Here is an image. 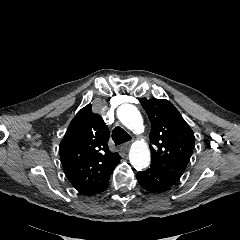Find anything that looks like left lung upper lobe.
I'll return each instance as SVG.
<instances>
[{
  "instance_id": "5c2ea615",
  "label": "left lung upper lobe",
  "mask_w": 240,
  "mask_h": 240,
  "mask_svg": "<svg viewBox=\"0 0 240 240\" xmlns=\"http://www.w3.org/2000/svg\"><path fill=\"white\" fill-rule=\"evenodd\" d=\"M152 124V163L179 181L194 148V133L172 103L165 99L141 102Z\"/></svg>"
}]
</instances>
